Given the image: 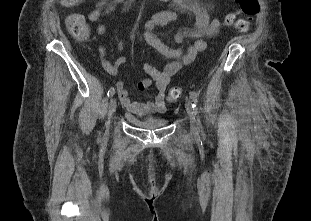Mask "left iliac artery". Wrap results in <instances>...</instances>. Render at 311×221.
I'll use <instances>...</instances> for the list:
<instances>
[{"label": "left iliac artery", "instance_id": "1", "mask_svg": "<svg viewBox=\"0 0 311 221\" xmlns=\"http://www.w3.org/2000/svg\"><path fill=\"white\" fill-rule=\"evenodd\" d=\"M190 100H191L192 107H193V110H194V113L196 116V123L199 127H201V121H200V118L198 115V109H199L198 108V100H197V97H196L194 92H190Z\"/></svg>", "mask_w": 311, "mask_h": 221}]
</instances>
